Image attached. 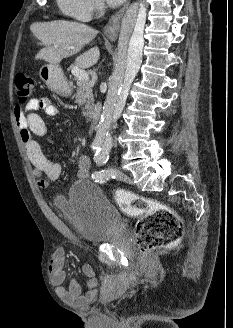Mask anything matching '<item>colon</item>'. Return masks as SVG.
<instances>
[{
	"mask_svg": "<svg viewBox=\"0 0 233 328\" xmlns=\"http://www.w3.org/2000/svg\"><path fill=\"white\" fill-rule=\"evenodd\" d=\"M14 82L17 97L22 102L26 101L34 91L33 78L27 74L18 73ZM114 198L124 214L139 219L135 237L142 253L170 247L182 237V221L169 207L125 191L116 192Z\"/></svg>",
	"mask_w": 233,
	"mask_h": 328,
	"instance_id": "obj_1",
	"label": "colon"
}]
</instances>
